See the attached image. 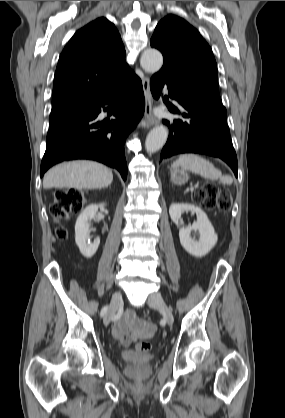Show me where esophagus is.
I'll list each match as a JSON object with an SVG mask.
<instances>
[{
	"label": "esophagus",
	"instance_id": "34e87169",
	"mask_svg": "<svg viewBox=\"0 0 285 418\" xmlns=\"http://www.w3.org/2000/svg\"><path fill=\"white\" fill-rule=\"evenodd\" d=\"M142 87L145 97V112L139 126L149 128L153 125L159 124V120L154 116L153 113V99L150 90V82L146 76L142 79Z\"/></svg>",
	"mask_w": 285,
	"mask_h": 418
}]
</instances>
